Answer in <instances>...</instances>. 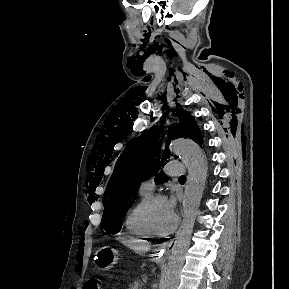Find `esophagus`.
<instances>
[{
  "instance_id": "34e87169",
  "label": "esophagus",
  "mask_w": 289,
  "mask_h": 289,
  "mask_svg": "<svg viewBox=\"0 0 289 289\" xmlns=\"http://www.w3.org/2000/svg\"><path fill=\"white\" fill-rule=\"evenodd\" d=\"M172 244H173V239L169 241H165L156 247V253L158 254L159 258H166V256L170 252Z\"/></svg>"
}]
</instances>
